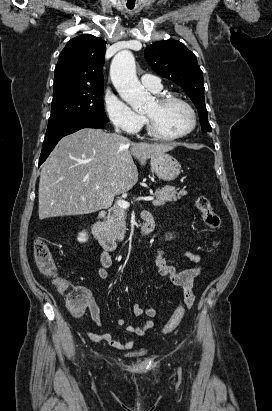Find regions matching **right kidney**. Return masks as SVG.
Listing matches in <instances>:
<instances>
[{
    "instance_id": "ca27d5eb",
    "label": "right kidney",
    "mask_w": 272,
    "mask_h": 411,
    "mask_svg": "<svg viewBox=\"0 0 272 411\" xmlns=\"http://www.w3.org/2000/svg\"><path fill=\"white\" fill-rule=\"evenodd\" d=\"M88 240L86 232H82L78 236L79 242H86Z\"/></svg>"
}]
</instances>
